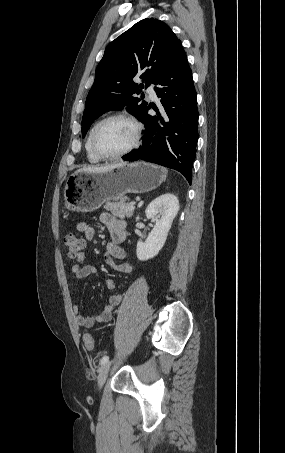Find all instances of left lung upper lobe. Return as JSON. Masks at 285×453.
<instances>
[{"instance_id": "1", "label": "left lung upper lobe", "mask_w": 285, "mask_h": 453, "mask_svg": "<svg viewBox=\"0 0 285 453\" xmlns=\"http://www.w3.org/2000/svg\"><path fill=\"white\" fill-rule=\"evenodd\" d=\"M180 43L167 24L154 18L137 22L112 41L96 68L95 81L86 99L82 137L95 119L111 109L127 106L128 112L140 119L148 104L141 103L136 96L154 83ZM136 77L143 83H135Z\"/></svg>"}]
</instances>
